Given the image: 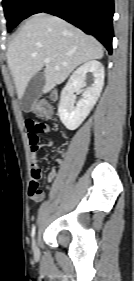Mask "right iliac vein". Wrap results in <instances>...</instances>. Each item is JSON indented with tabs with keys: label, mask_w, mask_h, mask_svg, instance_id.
I'll return each instance as SVG.
<instances>
[{
	"label": "right iliac vein",
	"mask_w": 134,
	"mask_h": 281,
	"mask_svg": "<svg viewBox=\"0 0 134 281\" xmlns=\"http://www.w3.org/2000/svg\"><path fill=\"white\" fill-rule=\"evenodd\" d=\"M33 252H34V255L36 257L39 256V249H38V245H37V240L33 241Z\"/></svg>",
	"instance_id": "63e3f726"
}]
</instances>
